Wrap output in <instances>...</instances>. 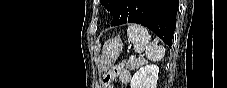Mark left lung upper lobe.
Masks as SVG:
<instances>
[{"mask_svg":"<svg viewBox=\"0 0 227 88\" xmlns=\"http://www.w3.org/2000/svg\"><path fill=\"white\" fill-rule=\"evenodd\" d=\"M101 4L112 14L114 15L116 11L117 4L120 0H100Z\"/></svg>","mask_w":227,"mask_h":88,"instance_id":"1","label":"left lung upper lobe"}]
</instances>
